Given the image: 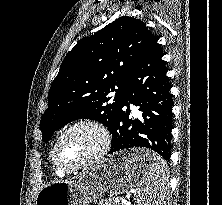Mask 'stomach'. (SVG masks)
Segmentation results:
<instances>
[{"mask_svg": "<svg viewBox=\"0 0 222 205\" xmlns=\"http://www.w3.org/2000/svg\"><path fill=\"white\" fill-rule=\"evenodd\" d=\"M149 150L112 154L70 180L53 182L38 193L36 205H88L105 193L126 194L139 187L146 170Z\"/></svg>", "mask_w": 222, "mask_h": 205, "instance_id": "obj_1", "label": "stomach"}]
</instances>
